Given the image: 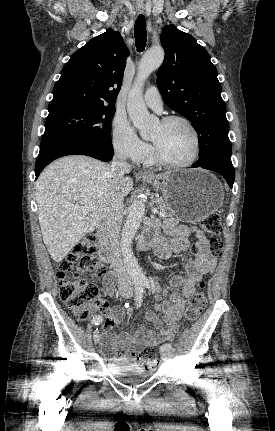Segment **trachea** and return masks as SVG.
I'll return each mask as SVG.
<instances>
[{
    "label": "trachea",
    "mask_w": 275,
    "mask_h": 431,
    "mask_svg": "<svg viewBox=\"0 0 275 431\" xmlns=\"http://www.w3.org/2000/svg\"><path fill=\"white\" fill-rule=\"evenodd\" d=\"M134 36L137 51L142 52L145 49L147 42V31L145 17L141 14L137 17L136 23L134 25Z\"/></svg>",
    "instance_id": "1"
}]
</instances>
